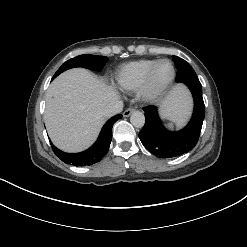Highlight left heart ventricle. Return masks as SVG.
Masks as SVG:
<instances>
[{"instance_id":"obj_1","label":"left heart ventricle","mask_w":247,"mask_h":247,"mask_svg":"<svg viewBox=\"0 0 247 247\" xmlns=\"http://www.w3.org/2000/svg\"><path fill=\"white\" fill-rule=\"evenodd\" d=\"M170 76V64L166 61L159 63L152 74L151 87L154 89L162 87L169 80Z\"/></svg>"}]
</instances>
